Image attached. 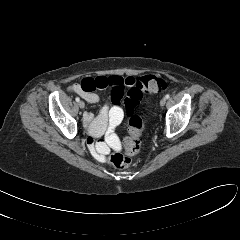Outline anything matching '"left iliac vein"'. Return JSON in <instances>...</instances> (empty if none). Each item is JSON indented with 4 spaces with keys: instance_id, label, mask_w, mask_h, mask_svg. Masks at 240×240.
Listing matches in <instances>:
<instances>
[{
    "instance_id": "1",
    "label": "left iliac vein",
    "mask_w": 240,
    "mask_h": 240,
    "mask_svg": "<svg viewBox=\"0 0 240 240\" xmlns=\"http://www.w3.org/2000/svg\"><path fill=\"white\" fill-rule=\"evenodd\" d=\"M166 103V98H162L161 101H160V106H164Z\"/></svg>"
}]
</instances>
